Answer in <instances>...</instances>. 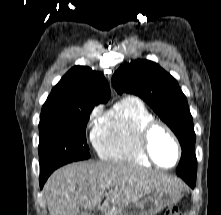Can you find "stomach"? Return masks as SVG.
I'll return each instance as SVG.
<instances>
[{"mask_svg":"<svg viewBox=\"0 0 221 215\" xmlns=\"http://www.w3.org/2000/svg\"><path fill=\"white\" fill-rule=\"evenodd\" d=\"M181 199L177 188L155 190L141 201L119 207V215H156L166 207L173 206Z\"/></svg>","mask_w":221,"mask_h":215,"instance_id":"stomach-1","label":"stomach"}]
</instances>
